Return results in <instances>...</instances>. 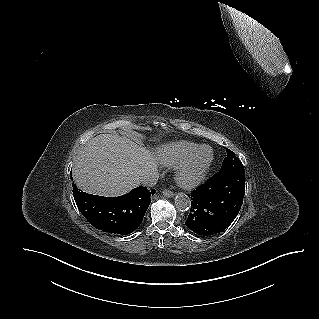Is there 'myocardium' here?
<instances>
[{"mask_svg":"<svg viewBox=\"0 0 319 319\" xmlns=\"http://www.w3.org/2000/svg\"><path fill=\"white\" fill-rule=\"evenodd\" d=\"M203 149H209L210 157L198 171L194 172V162ZM214 158V152L211 147L207 145L199 146L189 157L177 166L175 174L177 183L185 189H194L200 186L205 181L213 165Z\"/></svg>","mask_w":319,"mask_h":319,"instance_id":"f54148a6","label":"myocardium"}]
</instances>
